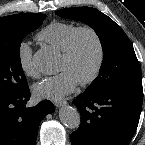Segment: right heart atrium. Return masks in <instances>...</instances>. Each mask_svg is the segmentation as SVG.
Listing matches in <instances>:
<instances>
[{
    "mask_svg": "<svg viewBox=\"0 0 145 145\" xmlns=\"http://www.w3.org/2000/svg\"><path fill=\"white\" fill-rule=\"evenodd\" d=\"M17 58L21 71L30 78H37L39 71L34 65L32 49L28 42L23 41L17 49Z\"/></svg>",
    "mask_w": 145,
    "mask_h": 145,
    "instance_id": "d8ad5b80",
    "label": "right heart atrium"
}]
</instances>
